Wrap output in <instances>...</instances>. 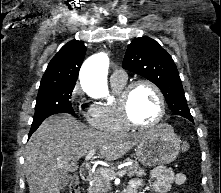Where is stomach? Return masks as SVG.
Masks as SVG:
<instances>
[{"label":"stomach","instance_id":"obj_1","mask_svg":"<svg viewBox=\"0 0 221 193\" xmlns=\"http://www.w3.org/2000/svg\"><path fill=\"white\" fill-rule=\"evenodd\" d=\"M180 138L167 124L157 126L139 142L136 156L145 166L164 165L173 162L180 151Z\"/></svg>","mask_w":221,"mask_h":193}]
</instances>
